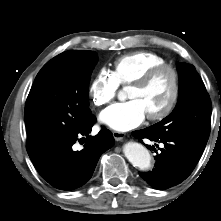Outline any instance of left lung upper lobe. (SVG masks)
I'll return each instance as SVG.
<instances>
[{"label": "left lung upper lobe", "mask_w": 221, "mask_h": 221, "mask_svg": "<svg viewBox=\"0 0 221 221\" xmlns=\"http://www.w3.org/2000/svg\"><path fill=\"white\" fill-rule=\"evenodd\" d=\"M179 99L173 112L150 126L160 136L188 137L207 143L210 134L211 101L193 65L178 63Z\"/></svg>", "instance_id": "1"}]
</instances>
